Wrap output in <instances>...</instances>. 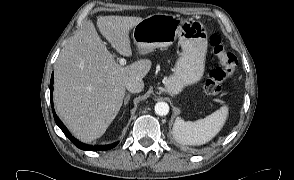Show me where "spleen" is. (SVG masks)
Here are the masks:
<instances>
[{"label":"spleen","mask_w":294,"mask_h":180,"mask_svg":"<svg viewBox=\"0 0 294 180\" xmlns=\"http://www.w3.org/2000/svg\"><path fill=\"white\" fill-rule=\"evenodd\" d=\"M228 115V107L222 106L204 119L184 121L176 118L173 125L175 140L183 145H203L212 140L222 129Z\"/></svg>","instance_id":"spleen-1"}]
</instances>
